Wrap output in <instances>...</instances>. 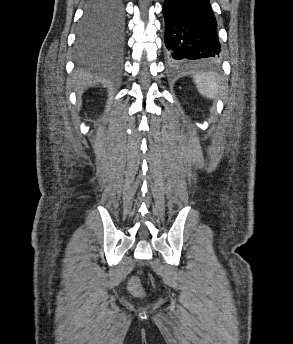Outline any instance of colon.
I'll list each match as a JSON object with an SVG mask.
<instances>
[{"label": "colon", "instance_id": "colon-1", "mask_svg": "<svg viewBox=\"0 0 293 344\" xmlns=\"http://www.w3.org/2000/svg\"><path fill=\"white\" fill-rule=\"evenodd\" d=\"M128 289L131 292L132 295L135 297L142 298L145 295V291L141 286L140 281L137 278H133L130 280Z\"/></svg>", "mask_w": 293, "mask_h": 344}]
</instances>
